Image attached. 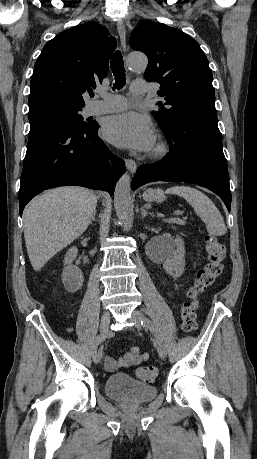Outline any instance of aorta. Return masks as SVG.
Here are the masks:
<instances>
[{
	"mask_svg": "<svg viewBox=\"0 0 257 459\" xmlns=\"http://www.w3.org/2000/svg\"><path fill=\"white\" fill-rule=\"evenodd\" d=\"M147 63V57L143 54L132 53L128 57V67L132 71L145 69ZM130 183V176L125 173L118 180L114 192V207L124 230H129L133 223L134 213L130 196Z\"/></svg>",
	"mask_w": 257,
	"mask_h": 459,
	"instance_id": "762f6f07",
	"label": "aorta"
}]
</instances>
